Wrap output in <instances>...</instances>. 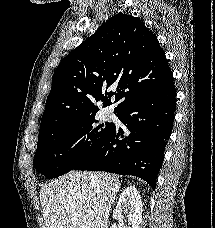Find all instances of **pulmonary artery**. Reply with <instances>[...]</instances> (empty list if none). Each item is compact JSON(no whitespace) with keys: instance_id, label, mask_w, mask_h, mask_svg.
Here are the masks:
<instances>
[{"instance_id":"obj_1","label":"pulmonary artery","mask_w":215,"mask_h":228,"mask_svg":"<svg viewBox=\"0 0 215 228\" xmlns=\"http://www.w3.org/2000/svg\"><path fill=\"white\" fill-rule=\"evenodd\" d=\"M112 114V112H109V115H111Z\"/></svg>"}]
</instances>
